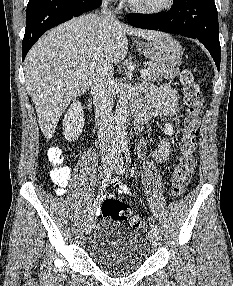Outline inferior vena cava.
Wrapping results in <instances>:
<instances>
[{
	"label": "inferior vena cava",
	"mask_w": 233,
	"mask_h": 286,
	"mask_svg": "<svg viewBox=\"0 0 233 286\" xmlns=\"http://www.w3.org/2000/svg\"><path fill=\"white\" fill-rule=\"evenodd\" d=\"M110 0H103L101 6V14L107 20L115 21V15L107 8ZM113 65L110 62L101 61L96 69V76L91 84V94L94 99L95 121L102 146H105L106 138L111 148L113 143ZM106 134V136H105Z\"/></svg>",
	"instance_id": "obj_1"
}]
</instances>
